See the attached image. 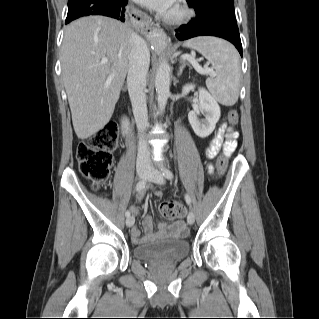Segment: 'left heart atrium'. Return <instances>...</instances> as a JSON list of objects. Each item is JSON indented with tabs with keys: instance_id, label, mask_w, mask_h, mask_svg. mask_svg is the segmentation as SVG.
<instances>
[{
	"instance_id": "1",
	"label": "left heart atrium",
	"mask_w": 319,
	"mask_h": 319,
	"mask_svg": "<svg viewBox=\"0 0 319 319\" xmlns=\"http://www.w3.org/2000/svg\"><path fill=\"white\" fill-rule=\"evenodd\" d=\"M135 1L158 12L161 15L167 14L175 3V0H135Z\"/></svg>"
}]
</instances>
